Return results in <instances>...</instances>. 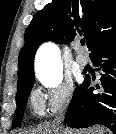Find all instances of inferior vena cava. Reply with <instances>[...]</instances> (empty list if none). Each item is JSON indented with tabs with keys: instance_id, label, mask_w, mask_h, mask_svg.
<instances>
[{
	"instance_id": "1",
	"label": "inferior vena cava",
	"mask_w": 116,
	"mask_h": 134,
	"mask_svg": "<svg viewBox=\"0 0 116 134\" xmlns=\"http://www.w3.org/2000/svg\"><path fill=\"white\" fill-rule=\"evenodd\" d=\"M63 119H64V115H63V114H60V116L56 118V121H55V125H56L55 127H56V128H58V129H63V128L60 126V124H61V122L63 121Z\"/></svg>"
}]
</instances>
